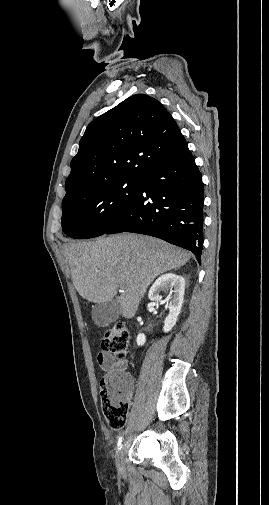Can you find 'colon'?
<instances>
[{"label": "colon", "mask_w": 269, "mask_h": 505, "mask_svg": "<svg viewBox=\"0 0 269 505\" xmlns=\"http://www.w3.org/2000/svg\"><path fill=\"white\" fill-rule=\"evenodd\" d=\"M129 330L123 323H117L106 331L102 349L112 357L126 356L129 344ZM131 392L130 377L125 374L106 375L100 381V401L107 424L114 430L121 429L129 412Z\"/></svg>", "instance_id": "obj_1"}]
</instances>
